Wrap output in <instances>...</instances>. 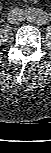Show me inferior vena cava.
Returning a JSON list of instances; mask_svg holds the SVG:
<instances>
[{
	"label": "inferior vena cava",
	"mask_w": 51,
	"mask_h": 153,
	"mask_svg": "<svg viewBox=\"0 0 51 153\" xmlns=\"http://www.w3.org/2000/svg\"><path fill=\"white\" fill-rule=\"evenodd\" d=\"M24 15L21 9H13L8 13V21L11 24H19L23 21Z\"/></svg>",
	"instance_id": "1"
}]
</instances>
